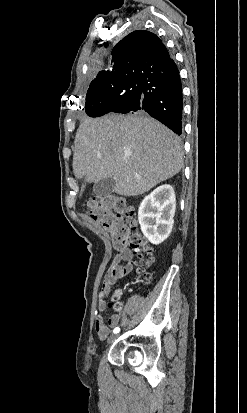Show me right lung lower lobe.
<instances>
[{
  "label": "right lung lower lobe",
  "mask_w": 247,
  "mask_h": 413,
  "mask_svg": "<svg viewBox=\"0 0 247 413\" xmlns=\"http://www.w3.org/2000/svg\"><path fill=\"white\" fill-rule=\"evenodd\" d=\"M125 92L111 97L91 117L109 112L148 113L176 134H182V86L174 61L160 71L128 75Z\"/></svg>",
  "instance_id": "right-lung-lower-lobe-1"
}]
</instances>
